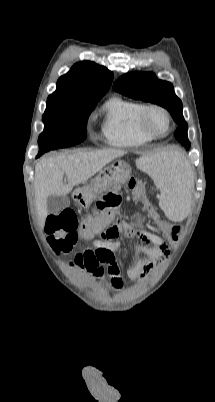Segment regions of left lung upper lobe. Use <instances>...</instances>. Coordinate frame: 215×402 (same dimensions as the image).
Instances as JSON below:
<instances>
[{"mask_svg": "<svg viewBox=\"0 0 215 402\" xmlns=\"http://www.w3.org/2000/svg\"><path fill=\"white\" fill-rule=\"evenodd\" d=\"M115 91L130 98L151 102L166 108L178 125L176 139L189 149L188 125L182 114V102L170 82L157 79L152 72H132L121 76L113 85Z\"/></svg>", "mask_w": 215, "mask_h": 402, "instance_id": "obj_1", "label": "left lung upper lobe"}]
</instances>
